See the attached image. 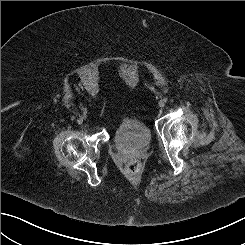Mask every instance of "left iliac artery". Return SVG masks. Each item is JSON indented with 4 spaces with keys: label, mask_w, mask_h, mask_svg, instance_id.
I'll use <instances>...</instances> for the list:
<instances>
[{
    "label": "left iliac artery",
    "mask_w": 245,
    "mask_h": 245,
    "mask_svg": "<svg viewBox=\"0 0 245 245\" xmlns=\"http://www.w3.org/2000/svg\"><path fill=\"white\" fill-rule=\"evenodd\" d=\"M163 101L166 103L168 101V99L167 98H164Z\"/></svg>",
    "instance_id": "1"
}]
</instances>
